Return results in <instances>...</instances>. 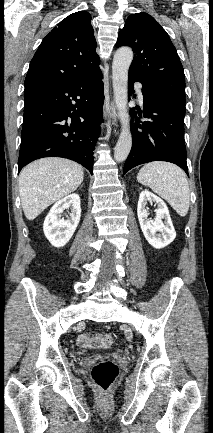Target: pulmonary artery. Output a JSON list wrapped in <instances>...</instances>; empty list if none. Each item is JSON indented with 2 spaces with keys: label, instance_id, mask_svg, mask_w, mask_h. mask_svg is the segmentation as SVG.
<instances>
[{
  "label": "pulmonary artery",
  "instance_id": "e3ab8cb5",
  "mask_svg": "<svg viewBox=\"0 0 213 433\" xmlns=\"http://www.w3.org/2000/svg\"><path fill=\"white\" fill-rule=\"evenodd\" d=\"M135 87L137 89L138 97L140 101H143V94H142V86L139 83L135 84Z\"/></svg>",
  "mask_w": 213,
  "mask_h": 433
}]
</instances>
